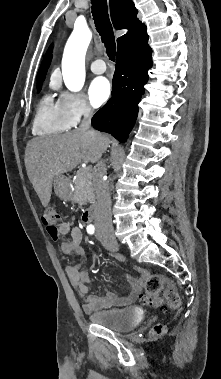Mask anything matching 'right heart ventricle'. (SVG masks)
I'll list each match as a JSON object with an SVG mask.
<instances>
[{"instance_id":"right-heart-ventricle-1","label":"right heart ventricle","mask_w":221,"mask_h":379,"mask_svg":"<svg viewBox=\"0 0 221 379\" xmlns=\"http://www.w3.org/2000/svg\"><path fill=\"white\" fill-rule=\"evenodd\" d=\"M72 126L58 100L55 101L49 94L41 97L32 124L34 134H57L69 130Z\"/></svg>"}]
</instances>
